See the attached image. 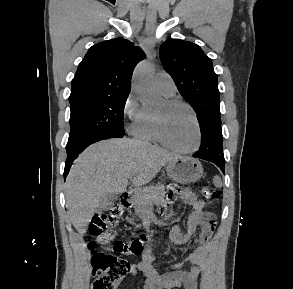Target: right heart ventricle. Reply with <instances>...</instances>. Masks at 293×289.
Here are the masks:
<instances>
[{
	"label": "right heart ventricle",
	"mask_w": 293,
	"mask_h": 289,
	"mask_svg": "<svg viewBox=\"0 0 293 289\" xmlns=\"http://www.w3.org/2000/svg\"><path fill=\"white\" fill-rule=\"evenodd\" d=\"M165 96L169 97L171 95ZM134 134L140 140L147 142H157V138L154 133L153 113L151 111L144 109L142 120L137 126Z\"/></svg>",
	"instance_id": "obj_1"
}]
</instances>
